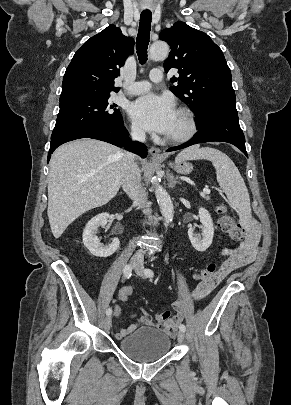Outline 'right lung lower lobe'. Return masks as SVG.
Wrapping results in <instances>:
<instances>
[{
  "instance_id": "1",
  "label": "right lung lower lobe",
  "mask_w": 291,
  "mask_h": 405,
  "mask_svg": "<svg viewBox=\"0 0 291 405\" xmlns=\"http://www.w3.org/2000/svg\"><path fill=\"white\" fill-rule=\"evenodd\" d=\"M127 137L128 132L124 127L123 120L119 124L107 128L77 129L51 139L47 161L49 162L51 154L58 146L68 141L80 138L98 139L120 147H122L126 142L125 149L140 155L142 158H145L147 155L146 146L139 142H131L130 138Z\"/></svg>"
}]
</instances>
